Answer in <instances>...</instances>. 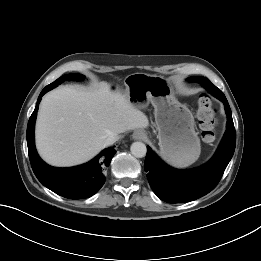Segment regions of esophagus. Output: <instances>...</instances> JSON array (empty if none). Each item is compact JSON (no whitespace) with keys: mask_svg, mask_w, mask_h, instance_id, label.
Listing matches in <instances>:
<instances>
[{"mask_svg":"<svg viewBox=\"0 0 261 261\" xmlns=\"http://www.w3.org/2000/svg\"><path fill=\"white\" fill-rule=\"evenodd\" d=\"M132 138L134 140H143L146 138V135L144 132L138 130V131H135L133 134H132Z\"/></svg>","mask_w":261,"mask_h":261,"instance_id":"1","label":"esophagus"}]
</instances>
